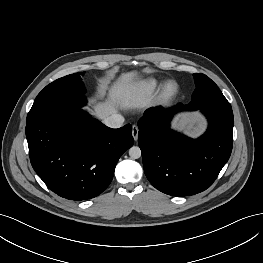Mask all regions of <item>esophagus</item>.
<instances>
[{"label":"esophagus","instance_id":"1","mask_svg":"<svg viewBox=\"0 0 263 263\" xmlns=\"http://www.w3.org/2000/svg\"><path fill=\"white\" fill-rule=\"evenodd\" d=\"M138 132H139V129H138L137 125H133L132 126V136H133L135 141H137V139H138Z\"/></svg>","mask_w":263,"mask_h":263}]
</instances>
